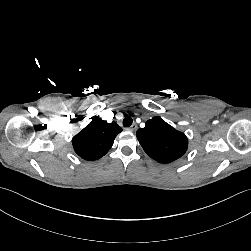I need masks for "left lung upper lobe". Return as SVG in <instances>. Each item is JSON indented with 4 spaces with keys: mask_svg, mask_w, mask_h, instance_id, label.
Instances as JSON below:
<instances>
[{
    "mask_svg": "<svg viewBox=\"0 0 251 251\" xmlns=\"http://www.w3.org/2000/svg\"><path fill=\"white\" fill-rule=\"evenodd\" d=\"M136 136L144 151L161 163L172 162L183 156L188 148V139L161 117H153L144 128L137 130Z\"/></svg>",
    "mask_w": 251,
    "mask_h": 251,
    "instance_id": "5c2ea615",
    "label": "left lung upper lobe"
}]
</instances>
